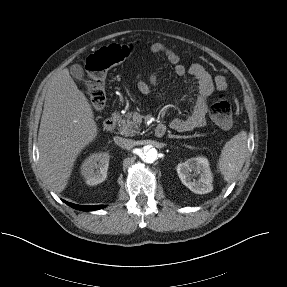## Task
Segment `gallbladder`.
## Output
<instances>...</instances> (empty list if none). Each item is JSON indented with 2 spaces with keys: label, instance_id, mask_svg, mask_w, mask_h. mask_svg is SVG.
I'll list each match as a JSON object with an SVG mask.
<instances>
[{
  "label": "gallbladder",
  "instance_id": "bac80fb5",
  "mask_svg": "<svg viewBox=\"0 0 287 287\" xmlns=\"http://www.w3.org/2000/svg\"><path fill=\"white\" fill-rule=\"evenodd\" d=\"M71 75L78 81H82L84 79V69L79 64H74L70 67Z\"/></svg>",
  "mask_w": 287,
  "mask_h": 287
}]
</instances>
